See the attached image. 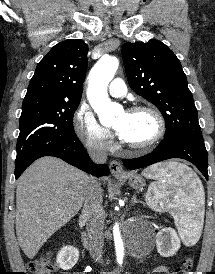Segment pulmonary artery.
Wrapping results in <instances>:
<instances>
[{
  "instance_id": "obj_1",
  "label": "pulmonary artery",
  "mask_w": 215,
  "mask_h": 274,
  "mask_svg": "<svg viewBox=\"0 0 215 274\" xmlns=\"http://www.w3.org/2000/svg\"><path fill=\"white\" fill-rule=\"evenodd\" d=\"M109 93L113 97H123L127 93V87L121 78H115L109 85Z\"/></svg>"
}]
</instances>
